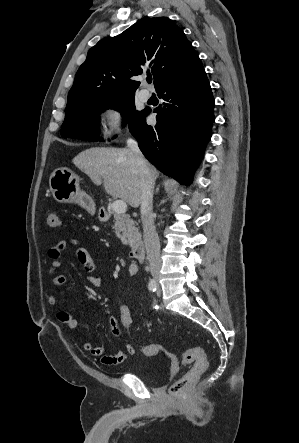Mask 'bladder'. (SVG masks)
<instances>
[{
    "label": "bladder",
    "mask_w": 299,
    "mask_h": 443,
    "mask_svg": "<svg viewBox=\"0 0 299 443\" xmlns=\"http://www.w3.org/2000/svg\"><path fill=\"white\" fill-rule=\"evenodd\" d=\"M133 374L138 376L143 382L149 385H158L163 382L169 375V372L157 373L154 370H149L145 366H143V362L134 368Z\"/></svg>",
    "instance_id": "1"
}]
</instances>
